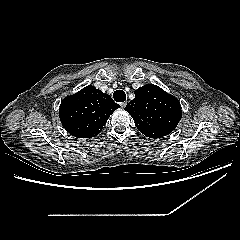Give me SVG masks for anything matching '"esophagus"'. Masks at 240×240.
<instances>
[{
	"label": "esophagus",
	"mask_w": 240,
	"mask_h": 240,
	"mask_svg": "<svg viewBox=\"0 0 240 240\" xmlns=\"http://www.w3.org/2000/svg\"><path fill=\"white\" fill-rule=\"evenodd\" d=\"M126 105H127V102H126V101L120 103V106H121L122 108H125Z\"/></svg>",
	"instance_id": "obj_1"
}]
</instances>
